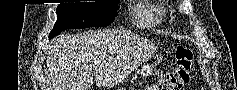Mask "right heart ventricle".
I'll use <instances>...</instances> for the list:
<instances>
[{
  "mask_svg": "<svg viewBox=\"0 0 237 90\" xmlns=\"http://www.w3.org/2000/svg\"><path fill=\"white\" fill-rule=\"evenodd\" d=\"M146 2H154V0H146ZM162 6H146V7H133L130 19H134V23L141 29H150L161 25L164 20L161 16L151 14V10H165ZM136 16V17H135Z\"/></svg>",
  "mask_w": 237,
  "mask_h": 90,
  "instance_id": "obj_1",
  "label": "right heart ventricle"
}]
</instances>
